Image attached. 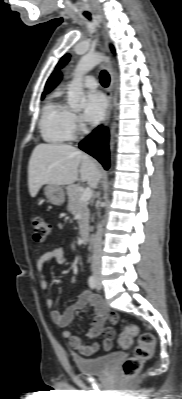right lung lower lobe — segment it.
I'll list each match as a JSON object with an SVG mask.
<instances>
[{
    "label": "right lung lower lobe",
    "instance_id": "right-lung-lower-lobe-1",
    "mask_svg": "<svg viewBox=\"0 0 182 399\" xmlns=\"http://www.w3.org/2000/svg\"><path fill=\"white\" fill-rule=\"evenodd\" d=\"M108 139V131L99 126L79 144L82 150L96 158L105 169L109 168Z\"/></svg>",
    "mask_w": 182,
    "mask_h": 399
}]
</instances>
